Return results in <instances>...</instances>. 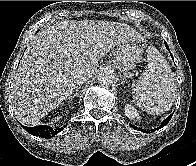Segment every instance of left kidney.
Segmentation results:
<instances>
[{"instance_id": "left-kidney-1", "label": "left kidney", "mask_w": 196, "mask_h": 166, "mask_svg": "<svg viewBox=\"0 0 196 166\" xmlns=\"http://www.w3.org/2000/svg\"><path fill=\"white\" fill-rule=\"evenodd\" d=\"M124 110H125V115L133 120V119H136V120H139V114L137 112V110L130 104H126L125 107H124Z\"/></svg>"}]
</instances>
